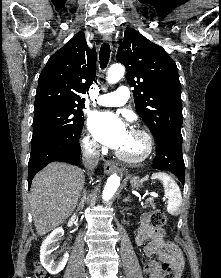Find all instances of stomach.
<instances>
[{
  "label": "stomach",
  "mask_w": 221,
  "mask_h": 278,
  "mask_svg": "<svg viewBox=\"0 0 221 278\" xmlns=\"http://www.w3.org/2000/svg\"><path fill=\"white\" fill-rule=\"evenodd\" d=\"M132 188L134 189H138L139 187H141V182L139 181V179L137 177H133L130 181Z\"/></svg>",
  "instance_id": "1"
}]
</instances>
